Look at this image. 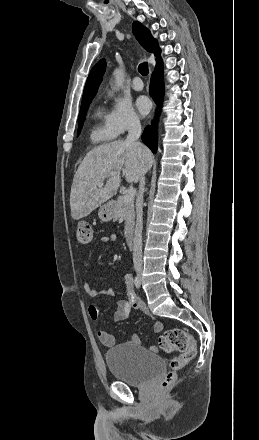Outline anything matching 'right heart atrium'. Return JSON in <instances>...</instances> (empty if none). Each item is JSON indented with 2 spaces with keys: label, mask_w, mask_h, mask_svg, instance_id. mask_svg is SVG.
<instances>
[{
  "label": "right heart atrium",
  "mask_w": 259,
  "mask_h": 440,
  "mask_svg": "<svg viewBox=\"0 0 259 440\" xmlns=\"http://www.w3.org/2000/svg\"><path fill=\"white\" fill-rule=\"evenodd\" d=\"M107 124L114 136H119L137 128L140 125V119L127 99L113 97L111 109L107 114Z\"/></svg>",
  "instance_id": "right-heart-atrium-1"
}]
</instances>
